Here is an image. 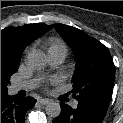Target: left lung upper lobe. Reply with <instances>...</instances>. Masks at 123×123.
Instances as JSON below:
<instances>
[{
	"mask_svg": "<svg viewBox=\"0 0 123 123\" xmlns=\"http://www.w3.org/2000/svg\"><path fill=\"white\" fill-rule=\"evenodd\" d=\"M53 26L75 54L76 69L71 80L73 96L79 103L107 112L115 77V66L109 50L100 41L75 27L64 24Z\"/></svg>",
	"mask_w": 123,
	"mask_h": 123,
	"instance_id": "obj_1",
	"label": "left lung upper lobe"
}]
</instances>
